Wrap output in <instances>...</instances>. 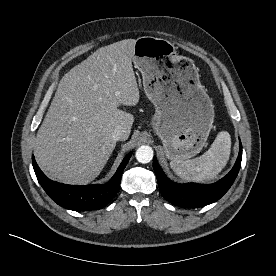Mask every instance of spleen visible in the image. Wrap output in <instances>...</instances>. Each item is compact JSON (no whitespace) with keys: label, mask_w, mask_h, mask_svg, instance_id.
<instances>
[{"label":"spleen","mask_w":276,"mask_h":276,"mask_svg":"<svg viewBox=\"0 0 276 276\" xmlns=\"http://www.w3.org/2000/svg\"><path fill=\"white\" fill-rule=\"evenodd\" d=\"M230 151V134L221 131L203 155L184 161L172 160L170 166L177 176L188 181L213 179L226 166Z\"/></svg>","instance_id":"1"}]
</instances>
